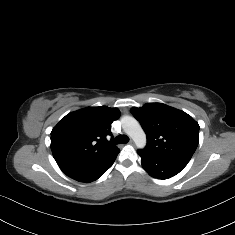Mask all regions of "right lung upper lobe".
<instances>
[{
	"label": "right lung upper lobe",
	"mask_w": 235,
	"mask_h": 235,
	"mask_svg": "<svg viewBox=\"0 0 235 235\" xmlns=\"http://www.w3.org/2000/svg\"><path fill=\"white\" fill-rule=\"evenodd\" d=\"M117 108L87 107L69 113L51 132V150L57 164L93 165L111 161L120 149L108 140Z\"/></svg>",
	"instance_id": "1"
}]
</instances>
